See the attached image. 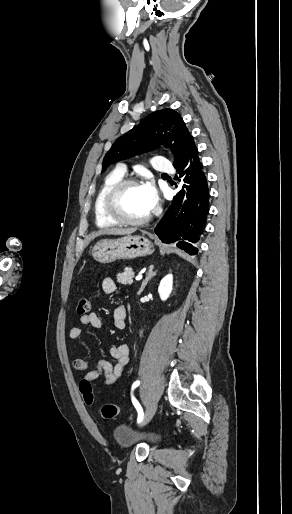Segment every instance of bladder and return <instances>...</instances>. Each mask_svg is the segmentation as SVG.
<instances>
[{
  "mask_svg": "<svg viewBox=\"0 0 292 514\" xmlns=\"http://www.w3.org/2000/svg\"><path fill=\"white\" fill-rule=\"evenodd\" d=\"M115 441L124 447L132 446L138 442H143L149 446L157 443L158 437L149 433H140L129 425H119L113 431Z\"/></svg>",
  "mask_w": 292,
  "mask_h": 514,
  "instance_id": "31cf9c89",
  "label": "bladder"
}]
</instances>
